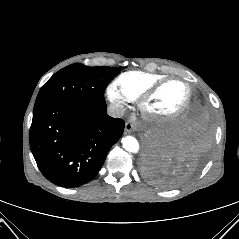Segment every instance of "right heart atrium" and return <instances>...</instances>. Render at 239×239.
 <instances>
[{
	"instance_id": "d8ad5b80",
	"label": "right heart atrium",
	"mask_w": 239,
	"mask_h": 239,
	"mask_svg": "<svg viewBox=\"0 0 239 239\" xmlns=\"http://www.w3.org/2000/svg\"><path fill=\"white\" fill-rule=\"evenodd\" d=\"M106 95L112 107L117 112H123L125 108L129 105V103L132 101L120 90L116 82H113L107 86Z\"/></svg>"
}]
</instances>
